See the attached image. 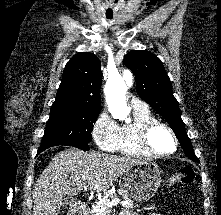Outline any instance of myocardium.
<instances>
[{
  "label": "myocardium",
  "mask_w": 221,
  "mask_h": 215,
  "mask_svg": "<svg viewBox=\"0 0 221 215\" xmlns=\"http://www.w3.org/2000/svg\"><path fill=\"white\" fill-rule=\"evenodd\" d=\"M158 128L166 129L171 135L172 140H173L172 150L161 152V151L155 150L153 146L151 145V135ZM137 141H138L139 147L144 152H146L147 154L151 156H156V157H164V156L171 155L177 150V147H178V139L174 130L168 124L159 120L151 121L145 124L139 131Z\"/></svg>",
  "instance_id": "f54148a6"
}]
</instances>
